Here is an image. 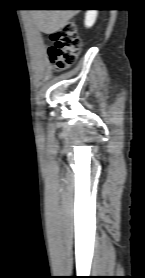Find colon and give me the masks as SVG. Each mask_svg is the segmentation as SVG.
Returning a JSON list of instances; mask_svg holds the SVG:
<instances>
[{
    "label": "colon",
    "instance_id": "colon-1",
    "mask_svg": "<svg viewBox=\"0 0 145 278\" xmlns=\"http://www.w3.org/2000/svg\"><path fill=\"white\" fill-rule=\"evenodd\" d=\"M48 38V52L55 70H64L76 62L81 41L73 22L49 32Z\"/></svg>",
    "mask_w": 145,
    "mask_h": 278
}]
</instances>
